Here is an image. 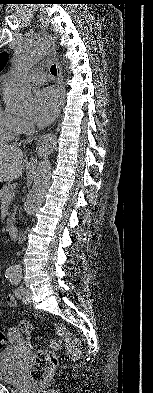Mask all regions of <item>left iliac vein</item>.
I'll list each match as a JSON object with an SVG mask.
<instances>
[{
	"mask_svg": "<svg viewBox=\"0 0 153 393\" xmlns=\"http://www.w3.org/2000/svg\"><path fill=\"white\" fill-rule=\"evenodd\" d=\"M29 289L26 287V286H22V291H21V293L19 294V297L22 299V301L25 303V304H28L29 303Z\"/></svg>",
	"mask_w": 153,
	"mask_h": 393,
	"instance_id": "obj_1",
	"label": "left iliac vein"
}]
</instances>
